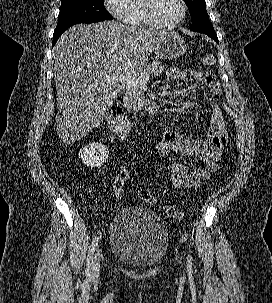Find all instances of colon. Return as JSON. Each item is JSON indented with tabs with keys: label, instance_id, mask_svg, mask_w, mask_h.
Listing matches in <instances>:
<instances>
[{
	"label": "colon",
	"instance_id": "colon-1",
	"mask_svg": "<svg viewBox=\"0 0 272 303\" xmlns=\"http://www.w3.org/2000/svg\"><path fill=\"white\" fill-rule=\"evenodd\" d=\"M215 56L212 54H206L202 58V63L206 66H212L215 63ZM226 113L229 115L231 120L234 122L236 127V153L238 158H242L245 146V128L241 117L231 109L228 105H224ZM131 168L123 167L120 168L115 175L113 181V192L115 197L120 200L123 196L124 185L129 177ZM138 197L141 201L148 204H159L153 194L147 189H140L138 191ZM164 210L165 214L172 219L183 218L182 212H180L176 207L170 205H160Z\"/></svg>",
	"mask_w": 272,
	"mask_h": 303
}]
</instances>
